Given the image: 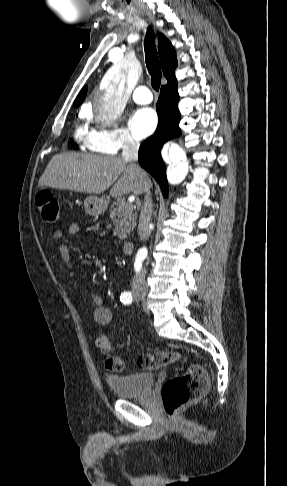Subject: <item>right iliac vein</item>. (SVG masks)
<instances>
[{
	"label": "right iliac vein",
	"mask_w": 287,
	"mask_h": 486,
	"mask_svg": "<svg viewBox=\"0 0 287 486\" xmlns=\"http://www.w3.org/2000/svg\"><path fill=\"white\" fill-rule=\"evenodd\" d=\"M135 296L138 299L142 300L143 303L145 304V296H146V293L144 291H137V292H135Z\"/></svg>",
	"instance_id": "obj_1"
}]
</instances>
